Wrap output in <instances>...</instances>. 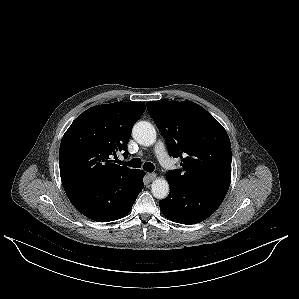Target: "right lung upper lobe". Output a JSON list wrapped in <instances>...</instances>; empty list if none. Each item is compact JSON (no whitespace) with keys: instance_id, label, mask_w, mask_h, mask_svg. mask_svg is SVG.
I'll return each mask as SVG.
<instances>
[{"instance_id":"1","label":"right lung upper lobe","mask_w":299,"mask_h":299,"mask_svg":"<svg viewBox=\"0 0 299 299\" xmlns=\"http://www.w3.org/2000/svg\"><path fill=\"white\" fill-rule=\"evenodd\" d=\"M144 102H115L89 108L64 134L59 149L63 185L125 178L134 183L139 170L119 166L111 157L128 156L127 143L135 122L145 111Z\"/></svg>"}]
</instances>
